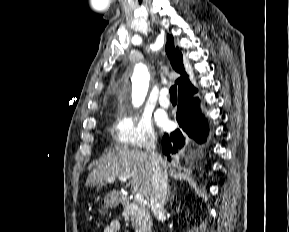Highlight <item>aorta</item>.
<instances>
[{
  "label": "aorta",
  "mask_w": 289,
  "mask_h": 232,
  "mask_svg": "<svg viewBox=\"0 0 289 232\" xmlns=\"http://www.w3.org/2000/svg\"><path fill=\"white\" fill-rule=\"evenodd\" d=\"M150 75L147 68L143 65H138L134 73V94L137 105H140L147 94L149 86Z\"/></svg>",
  "instance_id": "aorta-1"
}]
</instances>
